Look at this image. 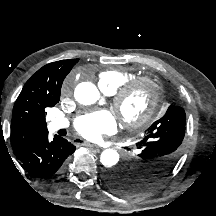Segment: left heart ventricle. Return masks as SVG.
I'll use <instances>...</instances> for the list:
<instances>
[{"label": "left heart ventricle", "instance_id": "obj_1", "mask_svg": "<svg viewBox=\"0 0 216 216\" xmlns=\"http://www.w3.org/2000/svg\"><path fill=\"white\" fill-rule=\"evenodd\" d=\"M150 98V92L146 85L132 91L125 99L123 110L128 116H137L145 108Z\"/></svg>", "mask_w": 216, "mask_h": 216}]
</instances>
